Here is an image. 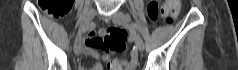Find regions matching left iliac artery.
<instances>
[{"label":"left iliac artery","mask_w":238,"mask_h":70,"mask_svg":"<svg viewBox=\"0 0 238 70\" xmlns=\"http://www.w3.org/2000/svg\"><path fill=\"white\" fill-rule=\"evenodd\" d=\"M132 26L134 27V28H136V29H138L140 32H141V34L143 35V36H145V41H147L148 39L147 38H150V33H146L145 32V30L140 26V25H138V24H132Z\"/></svg>","instance_id":"44dca946"}]
</instances>
